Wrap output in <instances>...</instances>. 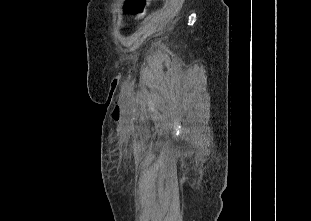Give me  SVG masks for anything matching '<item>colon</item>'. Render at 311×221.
<instances>
[{
  "instance_id": "5ec220e1",
  "label": "colon",
  "mask_w": 311,
  "mask_h": 221,
  "mask_svg": "<svg viewBox=\"0 0 311 221\" xmlns=\"http://www.w3.org/2000/svg\"><path fill=\"white\" fill-rule=\"evenodd\" d=\"M149 0H125L124 10L121 11L122 17L136 16L142 20L147 12V3Z\"/></svg>"
}]
</instances>
